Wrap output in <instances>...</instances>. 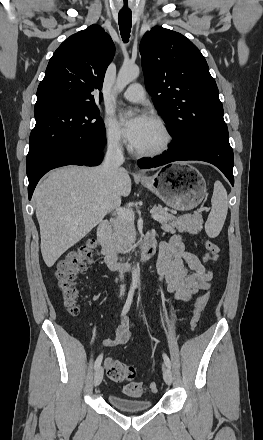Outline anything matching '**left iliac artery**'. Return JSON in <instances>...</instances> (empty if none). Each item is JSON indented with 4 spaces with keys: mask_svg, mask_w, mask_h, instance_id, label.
<instances>
[{
    "mask_svg": "<svg viewBox=\"0 0 263 440\" xmlns=\"http://www.w3.org/2000/svg\"><path fill=\"white\" fill-rule=\"evenodd\" d=\"M163 359H164L165 364L170 368L171 362L166 354H163Z\"/></svg>",
    "mask_w": 263,
    "mask_h": 440,
    "instance_id": "left-iliac-artery-1",
    "label": "left iliac artery"
}]
</instances>
